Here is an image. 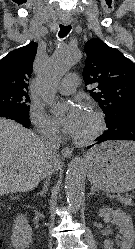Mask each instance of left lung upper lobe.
I'll return each instance as SVG.
<instances>
[{
  "label": "left lung upper lobe",
  "mask_w": 135,
  "mask_h": 249,
  "mask_svg": "<svg viewBox=\"0 0 135 249\" xmlns=\"http://www.w3.org/2000/svg\"><path fill=\"white\" fill-rule=\"evenodd\" d=\"M85 53V84L97 85L90 93L112 124L126 110H135V64L99 39L87 41Z\"/></svg>",
  "instance_id": "5c2ea615"
}]
</instances>
